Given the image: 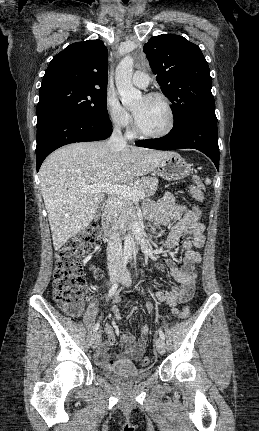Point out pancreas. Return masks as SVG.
Masks as SVG:
<instances>
[{
  "instance_id": "1",
  "label": "pancreas",
  "mask_w": 259,
  "mask_h": 431,
  "mask_svg": "<svg viewBox=\"0 0 259 431\" xmlns=\"http://www.w3.org/2000/svg\"><path fill=\"white\" fill-rule=\"evenodd\" d=\"M157 186V178L145 177L138 180L134 188L144 192L145 197H150L156 192ZM135 216V208L132 199L129 197L120 198L117 215L120 226L126 228L131 221L135 219Z\"/></svg>"
}]
</instances>
